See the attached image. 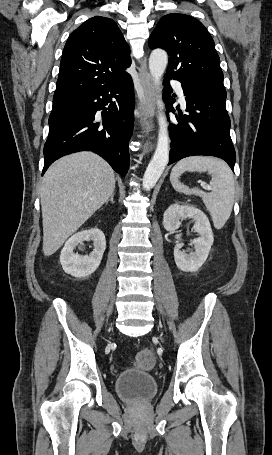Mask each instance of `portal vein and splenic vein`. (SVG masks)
I'll return each mask as SVG.
<instances>
[{
	"label": "portal vein and splenic vein",
	"instance_id": "18ae733b",
	"mask_svg": "<svg viewBox=\"0 0 272 455\" xmlns=\"http://www.w3.org/2000/svg\"><path fill=\"white\" fill-rule=\"evenodd\" d=\"M203 189H209L205 182H200Z\"/></svg>",
	"mask_w": 272,
	"mask_h": 455
}]
</instances>
